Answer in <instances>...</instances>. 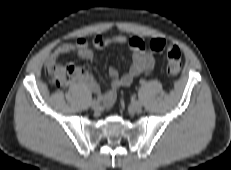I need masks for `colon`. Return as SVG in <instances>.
I'll list each match as a JSON object with an SVG mask.
<instances>
[{"mask_svg":"<svg viewBox=\"0 0 231 170\" xmlns=\"http://www.w3.org/2000/svg\"><path fill=\"white\" fill-rule=\"evenodd\" d=\"M149 47L153 52H165L167 57V74L176 77L181 70V51L176 45H169L163 39L155 38L150 41ZM46 73L51 84L56 88L67 86L73 79L84 74V71L70 64H53L46 66Z\"/></svg>","mask_w":231,"mask_h":170,"instance_id":"colon-1","label":"colon"}]
</instances>
